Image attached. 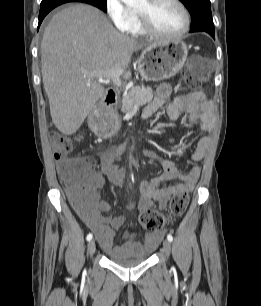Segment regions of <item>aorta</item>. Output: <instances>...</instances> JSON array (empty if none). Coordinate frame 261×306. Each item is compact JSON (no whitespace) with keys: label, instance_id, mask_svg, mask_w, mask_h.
Returning a JSON list of instances; mask_svg holds the SVG:
<instances>
[{"label":"aorta","instance_id":"aorta-1","mask_svg":"<svg viewBox=\"0 0 261 306\" xmlns=\"http://www.w3.org/2000/svg\"><path fill=\"white\" fill-rule=\"evenodd\" d=\"M143 0H122L127 6H137L139 5Z\"/></svg>","mask_w":261,"mask_h":306}]
</instances>
